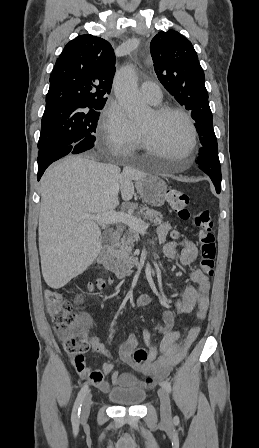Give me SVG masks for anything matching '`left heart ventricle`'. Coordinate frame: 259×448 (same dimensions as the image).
Returning <instances> with one entry per match:
<instances>
[{
	"label": "left heart ventricle",
	"mask_w": 259,
	"mask_h": 448,
	"mask_svg": "<svg viewBox=\"0 0 259 448\" xmlns=\"http://www.w3.org/2000/svg\"><path fill=\"white\" fill-rule=\"evenodd\" d=\"M138 125L149 130L161 148L155 155L174 161L185 160V148L190 139V132L181 117L172 114L156 120L150 111Z\"/></svg>",
	"instance_id": "left-heart-ventricle-1"
}]
</instances>
